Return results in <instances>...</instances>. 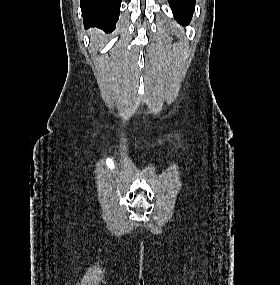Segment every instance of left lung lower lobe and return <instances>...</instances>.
I'll list each match as a JSON object with an SVG mask.
<instances>
[{"label":"left lung lower lobe","instance_id":"1","mask_svg":"<svg viewBox=\"0 0 280 285\" xmlns=\"http://www.w3.org/2000/svg\"><path fill=\"white\" fill-rule=\"evenodd\" d=\"M175 19L183 25L189 24L196 0H168Z\"/></svg>","mask_w":280,"mask_h":285}]
</instances>
